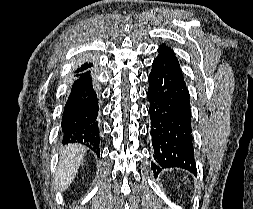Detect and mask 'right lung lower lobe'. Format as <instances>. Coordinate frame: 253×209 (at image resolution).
<instances>
[{
    "mask_svg": "<svg viewBox=\"0 0 253 209\" xmlns=\"http://www.w3.org/2000/svg\"><path fill=\"white\" fill-rule=\"evenodd\" d=\"M98 110L91 72L77 73L62 114V143H81L100 156Z\"/></svg>",
    "mask_w": 253,
    "mask_h": 209,
    "instance_id": "1",
    "label": "right lung lower lobe"
}]
</instances>
